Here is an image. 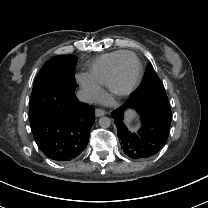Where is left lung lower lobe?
I'll use <instances>...</instances> for the list:
<instances>
[{
	"mask_svg": "<svg viewBox=\"0 0 208 208\" xmlns=\"http://www.w3.org/2000/svg\"><path fill=\"white\" fill-rule=\"evenodd\" d=\"M135 109L141 117L138 132L130 131L123 122L124 111ZM123 152L131 159L144 160L156 155L165 145L171 124L168 105L152 99L130 96L127 102L112 112Z\"/></svg>",
	"mask_w": 208,
	"mask_h": 208,
	"instance_id": "1",
	"label": "left lung lower lobe"
}]
</instances>
